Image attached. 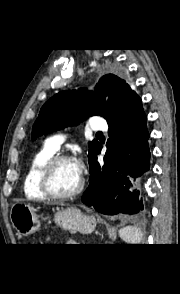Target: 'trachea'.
Returning a JSON list of instances; mask_svg holds the SVG:
<instances>
[{"mask_svg": "<svg viewBox=\"0 0 180 294\" xmlns=\"http://www.w3.org/2000/svg\"><path fill=\"white\" fill-rule=\"evenodd\" d=\"M98 134H99V135H102V133H101V132H98Z\"/></svg>", "mask_w": 180, "mask_h": 294, "instance_id": "1", "label": "trachea"}]
</instances>
